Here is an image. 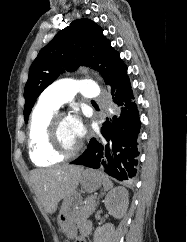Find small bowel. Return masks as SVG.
I'll return each mask as SVG.
<instances>
[{
	"mask_svg": "<svg viewBox=\"0 0 187 242\" xmlns=\"http://www.w3.org/2000/svg\"><path fill=\"white\" fill-rule=\"evenodd\" d=\"M81 238L77 242H85V237L91 232L92 224L89 221H83L79 225Z\"/></svg>",
	"mask_w": 187,
	"mask_h": 242,
	"instance_id": "c3829d8e",
	"label": "small bowel"
}]
</instances>
